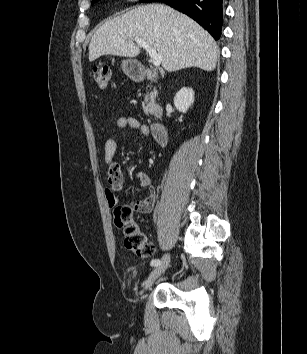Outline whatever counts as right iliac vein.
<instances>
[{"label": "right iliac vein", "mask_w": 307, "mask_h": 354, "mask_svg": "<svg viewBox=\"0 0 307 354\" xmlns=\"http://www.w3.org/2000/svg\"><path fill=\"white\" fill-rule=\"evenodd\" d=\"M170 263V254H165L161 260L160 265L156 266L151 273L149 274L148 278L143 283V291L147 290L152 286L155 280L165 272L168 268Z\"/></svg>", "instance_id": "right-iliac-vein-1"}]
</instances>
